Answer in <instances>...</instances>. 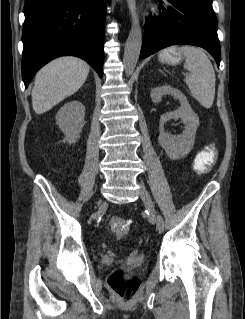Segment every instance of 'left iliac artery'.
Masks as SVG:
<instances>
[{"label":"left iliac artery","instance_id":"obj_1","mask_svg":"<svg viewBox=\"0 0 245 319\" xmlns=\"http://www.w3.org/2000/svg\"><path fill=\"white\" fill-rule=\"evenodd\" d=\"M157 225H158L159 230H163V228H164V221H163V218H162L161 216H158Z\"/></svg>","mask_w":245,"mask_h":319}]
</instances>
